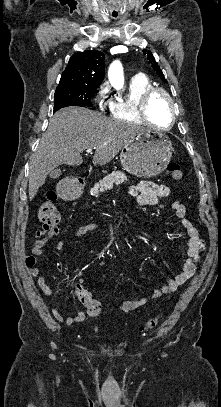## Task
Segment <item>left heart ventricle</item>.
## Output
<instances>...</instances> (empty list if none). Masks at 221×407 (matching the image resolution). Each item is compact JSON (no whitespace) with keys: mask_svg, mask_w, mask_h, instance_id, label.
Masks as SVG:
<instances>
[{"mask_svg":"<svg viewBox=\"0 0 221 407\" xmlns=\"http://www.w3.org/2000/svg\"><path fill=\"white\" fill-rule=\"evenodd\" d=\"M149 115L153 123L166 127L170 124L171 108L163 95H156L149 105Z\"/></svg>","mask_w":221,"mask_h":407,"instance_id":"b2bd125f","label":"left heart ventricle"}]
</instances>
